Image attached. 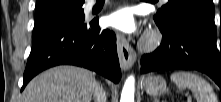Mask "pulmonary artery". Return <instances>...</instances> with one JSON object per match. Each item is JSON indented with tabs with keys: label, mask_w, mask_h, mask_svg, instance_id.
Wrapping results in <instances>:
<instances>
[{
	"label": "pulmonary artery",
	"mask_w": 221,
	"mask_h": 102,
	"mask_svg": "<svg viewBox=\"0 0 221 102\" xmlns=\"http://www.w3.org/2000/svg\"><path fill=\"white\" fill-rule=\"evenodd\" d=\"M165 1H166V0H165ZM94 3H95V1H94V0H92V1H91V4L93 5Z\"/></svg>",
	"instance_id": "1"
}]
</instances>
